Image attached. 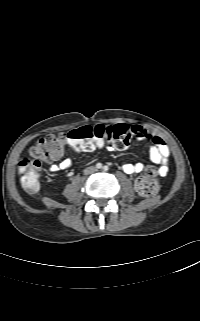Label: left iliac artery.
<instances>
[{
	"mask_svg": "<svg viewBox=\"0 0 200 321\" xmlns=\"http://www.w3.org/2000/svg\"><path fill=\"white\" fill-rule=\"evenodd\" d=\"M108 169H109L108 166H104V167H103V170H104V171H107Z\"/></svg>",
	"mask_w": 200,
	"mask_h": 321,
	"instance_id": "44dca946",
	"label": "left iliac artery"
}]
</instances>
